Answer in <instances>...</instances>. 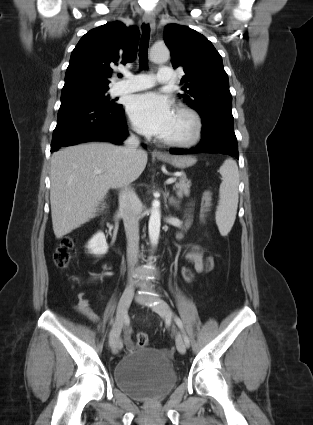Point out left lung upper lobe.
I'll return each instance as SVG.
<instances>
[{"instance_id": "left-lung-upper-lobe-1", "label": "left lung upper lobe", "mask_w": 313, "mask_h": 425, "mask_svg": "<svg viewBox=\"0 0 313 425\" xmlns=\"http://www.w3.org/2000/svg\"><path fill=\"white\" fill-rule=\"evenodd\" d=\"M164 40L174 68H184L179 96L201 117L210 113L232 114L228 75L220 54L202 34L183 25L169 24Z\"/></svg>"}]
</instances>
